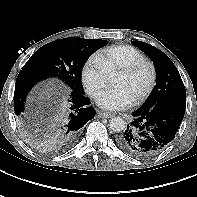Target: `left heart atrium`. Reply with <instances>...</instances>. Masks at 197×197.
Segmentation results:
<instances>
[{"label":"left heart atrium","instance_id":"1","mask_svg":"<svg viewBox=\"0 0 197 197\" xmlns=\"http://www.w3.org/2000/svg\"><path fill=\"white\" fill-rule=\"evenodd\" d=\"M97 104L108 110H120L133 102L131 95L122 87H113L102 90L96 96Z\"/></svg>","mask_w":197,"mask_h":197}]
</instances>
